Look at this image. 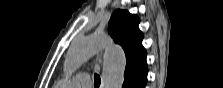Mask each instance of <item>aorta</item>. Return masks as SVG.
<instances>
[{
	"mask_svg": "<svg viewBox=\"0 0 223 88\" xmlns=\"http://www.w3.org/2000/svg\"><path fill=\"white\" fill-rule=\"evenodd\" d=\"M101 49H105L102 72L103 87L121 88L124 83L126 67L125 53L120 46L100 34L79 38L71 44L64 63L66 72L75 71ZM63 86H66V81L63 82Z\"/></svg>",
	"mask_w": 223,
	"mask_h": 88,
	"instance_id": "aorta-1",
	"label": "aorta"
}]
</instances>
